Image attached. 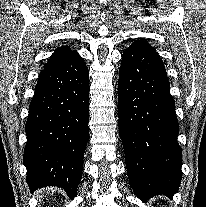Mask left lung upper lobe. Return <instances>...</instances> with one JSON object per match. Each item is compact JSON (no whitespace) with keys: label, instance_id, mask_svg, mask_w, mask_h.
<instances>
[{"label":"left lung upper lobe","instance_id":"obj_1","mask_svg":"<svg viewBox=\"0 0 206 207\" xmlns=\"http://www.w3.org/2000/svg\"><path fill=\"white\" fill-rule=\"evenodd\" d=\"M133 44H134V45L141 46V47H143V48H145V49H148V50H153V51H155V49H154L153 47H151L146 41H143V40H141V41H136V42H134Z\"/></svg>","mask_w":206,"mask_h":207}]
</instances>
